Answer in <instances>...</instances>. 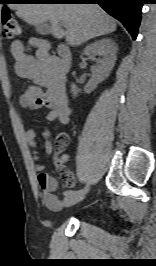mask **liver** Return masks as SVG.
Masks as SVG:
<instances>
[{"mask_svg":"<svg viewBox=\"0 0 156 266\" xmlns=\"http://www.w3.org/2000/svg\"><path fill=\"white\" fill-rule=\"evenodd\" d=\"M10 8L30 25L49 21L52 35L57 39L65 37L71 46L116 30L115 20L95 4H12Z\"/></svg>","mask_w":156,"mask_h":266,"instance_id":"liver-1","label":"liver"}]
</instances>
